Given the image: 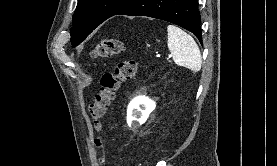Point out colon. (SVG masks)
Here are the masks:
<instances>
[{"instance_id": "1", "label": "colon", "mask_w": 277, "mask_h": 166, "mask_svg": "<svg viewBox=\"0 0 277 166\" xmlns=\"http://www.w3.org/2000/svg\"><path fill=\"white\" fill-rule=\"evenodd\" d=\"M124 52V44L118 38H104L99 41L91 51L92 58H106L120 55ZM137 63L128 59L121 61L113 72L105 73L101 79V87L89 107L90 116L97 132L102 129V120L115 99L120 86L135 77ZM96 148L100 151L99 162L105 163L103 155V139L97 136L94 139Z\"/></svg>"}]
</instances>
